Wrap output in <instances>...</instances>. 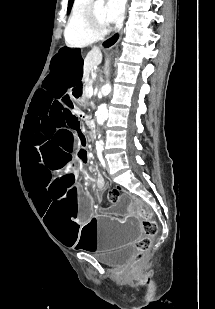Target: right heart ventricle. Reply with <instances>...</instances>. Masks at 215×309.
Instances as JSON below:
<instances>
[{"label": "right heart ventricle", "mask_w": 215, "mask_h": 309, "mask_svg": "<svg viewBox=\"0 0 215 309\" xmlns=\"http://www.w3.org/2000/svg\"><path fill=\"white\" fill-rule=\"evenodd\" d=\"M73 10L68 22L64 23V39L67 47L71 49L83 48L87 42H94L95 36L87 29V20L83 14H76Z\"/></svg>", "instance_id": "1"}]
</instances>
